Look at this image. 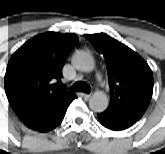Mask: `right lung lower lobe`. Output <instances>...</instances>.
Returning a JSON list of instances; mask_svg holds the SVG:
<instances>
[{"label":"right lung lower lobe","mask_w":165,"mask_h":154,"mask_svg":"<svg viewBox=\"0 0 165 154\" xmlns=\"http://www.w3.org/2000/svg\"><path fill=\"white\" fill-rule=\"evenodd\" d=\"M75 98L74 93L68 92L19 116V118L31 129L42 132L52 130L62 122L68 106Z\"/></svg>","instance_id":"1"}]
</instances>
